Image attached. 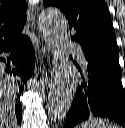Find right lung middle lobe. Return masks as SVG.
Returning a JSON list of instances; mask_svg holds the SVG:
<instances>
[{"label":"right lung middle lobe","instance_id":"obj_1","mask_svg":"<svg viewBox=\"0 0 125 128\" xmlns=\"http://www.w3.org/2000/svg\"><path fill=\"white\" fill-rule=\"evenodd\" d=\"M0 76L3 77V79L7 80L10 84L13 83V78L12 77H9L8 75L4 74L2 71H0Z\"/></svg>","mask_w":125,"mask_h":128}]
</instances>
